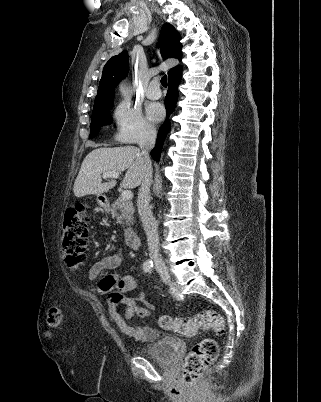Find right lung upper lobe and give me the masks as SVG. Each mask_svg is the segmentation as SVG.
Masks as SVG:
<instances>
[{
    "mask_svg": "<svg viewBox=\"0 0 321 402\" xmlns=\"http://www.w3.org/2000/svg\"><path fill=\"white\" fill-rule=\"evenodd\" d=\"M181 36L175 28L166 23L163 25L159 37L158 46L160 47L162 57L181 59L182 44L180 43ZM129 58L126 51L113 56L104 66L102 78L99 83L97 96L93 108L108 105L114 100V87L128 73ZM181 71V66H176L168 72L171 77Z\"/></svg>",
    "mask_w": 321,
    "mask_h": 402,
    "instance_id": "1",
    "label": "right lung upper lobe"
}]
</instances>
